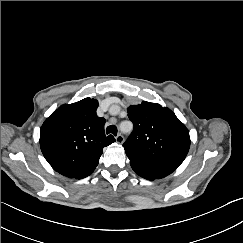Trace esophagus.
<instances>
[{
  "label": "esophagus",
  "instance_id": "34e87169",
  "mask_svg": "<svg viewBox=\"0 0 243 243\" xmlns=\"http://www.w3.org/2000/svg\"><path fill=\"white\" fill-rule=\"evenodd\" d=\"M116 142L119 143V144H122L124 142V137L122 134H118L116 137Z\"/></svg>",
  "mask_w": 243,
  "mask_h": 243
}]
</instances>
